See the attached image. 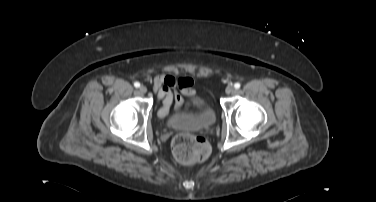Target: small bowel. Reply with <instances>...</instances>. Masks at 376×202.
<instances>
[{
  "label": "small bowel",
  "instance_id": "c3829d8e",
  "mask_svg": "<svg viewBox=\"0 0 376 202\" xmlns=\"http://www.w3.org/2000/svg\"><path fill=\"white\" fill-rule=\"evenodd\" d=\"M153 90L157 101L161 103L158 111L160 118L165 117L172 104L177 111L188 108L190 102H184V97H193L196 94L194 81L190 77H175L169 74H160L153 79Z\"/></svg>",
  "mask_w": 376,
  "mask_h": 202
}]
</instances>
